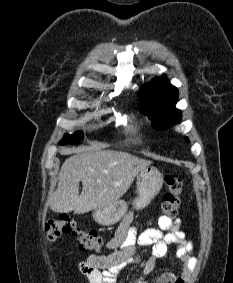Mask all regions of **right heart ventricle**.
Masks as SVG:
<instances>
[{"label": "right heart ventricle", "mask_w": 233, "mask_h": 283, "mask_svg": "<svg viewBox=\"0 0 233 283\" xmlns=\"http://www.w3.org/2000/svg\"><path fill=\"white\" fill-rule=\"evenodd\" d=\"M130 131L134 132V129H133V128H131V129H130Z\"/></svg>", "instance_id": "e07e8e85"}]
</instances>
